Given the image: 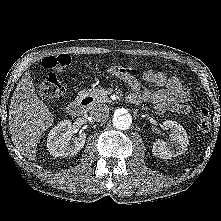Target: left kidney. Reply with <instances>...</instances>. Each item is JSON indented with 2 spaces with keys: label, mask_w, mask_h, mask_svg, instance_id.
<instances>
[{
  "label": "left kidney",
  "mask_w": 221,
  "mask_h": 221,
  "mask_svg": "<svg viewBox=\"0 0 221 221\" xmlns=\"http://www.w3.org/2000/svg\"><path fill=\"white\" fill-rule=\"evenodd\" d=\"M163 126L165 129L171 130V139L169 142L163 140L154 142L152 146L153 155L161 159H170L187 150L189 140L183 126L172 120L164 121Z\"/></svg>",
  "instance_id": "1"
}]
</instances>
